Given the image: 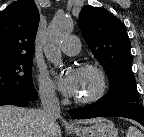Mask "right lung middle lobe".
Returning <instances> with one entry per match:
<instances>
[{
    "label": "right lung middle lobe",
    "mask_w": 144,
    "mask_h": 137,
    "mask_svg": "<svg viewBox=\"0 0 144 137\" xmlns=\"http://www.w3.org/2000/svg\"><path fill=\"white\" fill-rule=\"evenodd\" d=\"M32 64V56L0 63V96H17L28 101L37 99L32 82Z\"/></svg>",
    "instance_id": "obj_1"
}]
</instances>
